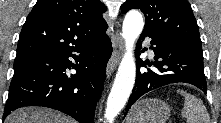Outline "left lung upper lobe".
Here are the masks:
<instances>
[{
  "label": "left lung upper lobe",
  "mask_w": 221,
  "mask_h": 123,
  "mask_svg": "<svg viewBox=\"0 0 221 123\" xmlns=\"http://www.w3.org/2000/svg\"><path fill=\"white\" fill-rule=\"evenodd\" d=\"M140 9L143 31L177 45L202 49L196 19L187 0H126L121 10Z\"/></svg>",
  "instance_id": "1"
}]
</instances>
